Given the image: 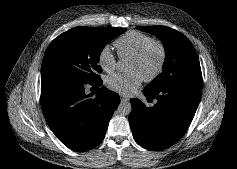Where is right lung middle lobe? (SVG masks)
Masks as SVG:
<instances>
[{
	"label": "right lung middle lobe",
	"mask_w": 237,
	"mask_h": 169,
	"mask_svg": "<svg viewBox=\"0 0 237 169\" xmlns=\"http://www.w3.org/2000/svg\"><path fill=\"white\" fill-rule=\"evenodd\" d=\"M126 31L116 27H75L55 38L46 50L41 76L68 78L85 83L100 80L101 51Z\"/></svg>",
	"instance_id": "right-lung-middle-lobe-1"
}]
</instances>
